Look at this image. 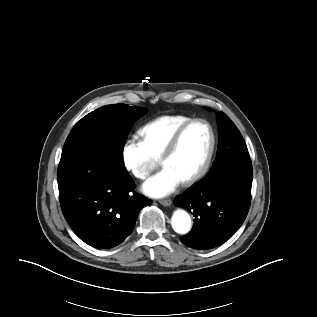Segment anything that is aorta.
Instances as JSON below:
<instances>
[{
  "label": "aorta",
  "instance_id": "aorta-1",
  "mask_svg": "<svg viewBox=\"0 0 317 317\" xmlns=\"http://www.w3.org/2000/svg\"><path fill=\"white\" fill-rule=\"evenodd\" d=\"M171 225L173 230L178 234H187L191 228V218L185 210H177L174 212Z\"/></svg>",
  "mask_w": 317,
  "mask_h": 317
}]
</instances>
